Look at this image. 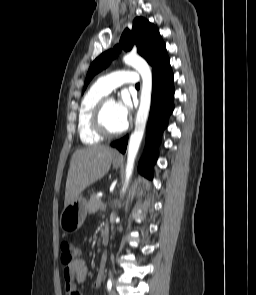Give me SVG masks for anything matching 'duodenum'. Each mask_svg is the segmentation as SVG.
<instances>
[{
  "label": "duodenum",
  "instance_id": "duodenum-1",
  "mask_svg": "<svg viewBox=\"0 0 256 295\" xmlns=\"http://www.w3.org/2000/svg\"><path fill=\"white\" fill-rule=\"evenodd\" d=\"M101 241L106 243L108 241V227L104 226L101 231Z\"/></svg>",
  "mask_w": 256,
  "mask_h": 295
}]
</instances>
